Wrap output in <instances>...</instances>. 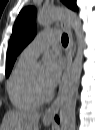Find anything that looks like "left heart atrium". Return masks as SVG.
<instances>
[{
  "label": "left heart atrium",
  "instance_id": "39dd6f15",
  "mask_svg": "<svg viewBox=\"0 0 95 130\" xmlns=\"http://www.w3.org/2000/svg\"><path fill=\"white\" fill-rule=\"evenodd\" d=\"M44 64V84L48 89H53L61 78L62 62L57 55L48 54L44 59Z\"/></svg>",
  "mask_w": 95,
  "mask_h": 130
}]
</instances>
